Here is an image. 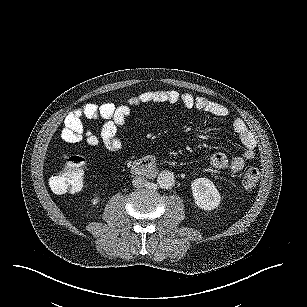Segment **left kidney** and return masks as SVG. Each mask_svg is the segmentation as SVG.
Here are the masks:
<instances>
[{
    "label": "left kidney",
    "mask_w": 307,
    "mask_h": 307,
    "mask_svg": "<svg viewBox=\"0 0 307 307\" xmlns=\"http://www.w3.org/2000/svg\"><path fill=\"white\" fill-rule=\"evenodd\" d=\"M195 204L203 210L216 209L221 196L214 183L208 178H197L191 183Z\"/></svg>",
    "instance_id": "1"
}]
</instances>
